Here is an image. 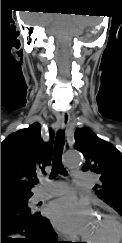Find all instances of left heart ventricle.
Returning a JSON list of instances; mask_svg holds the SVG:
<instances>
[{"label":"left heart ventricle","mask_w":122,"mask_h":243,"mask_svg":"<svg viewBox=\"0 0 122 243\" xmlns=\"http://www.w3.org/2000/svg\"><path fill=\"white\" fill-rule=\"evenodd\" d=\"M111 233L112 225L107 219L103 217H94L86 237L92 240L101 241L109 238Z\"/></svg>","instance_id":"obj_1"}]
</instances>
